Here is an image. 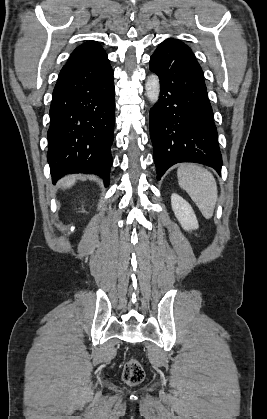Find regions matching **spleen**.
Returning a JSON list of instances; mask_svg holds the SVG:
<instances>
[{
    "instance_id": "spleen-1",
    "label": "spleen",
    "mask_w": 267,
    "mask_h": 419,
    "mask_svg": "<svg viewBox=\"0 0 267 419\" xmlns=\"http://www.w3.org/2000/svg\"><path fill=\"white\" fill-rule=\"evenodd\" d=\"M179 185L196 203L206 219L213 216L217 202V183L211 172L195 164H182L177 170Z\"/></svg>"
}]
</instances>
